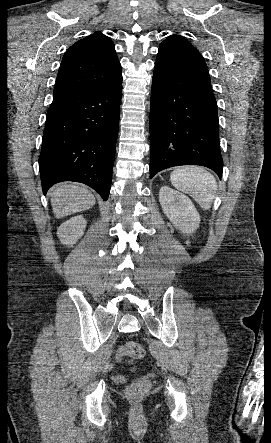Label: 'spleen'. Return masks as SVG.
<instances>
[{
  "label": "spleen",
  "mask_w": 271,
  "mask_h": 443,
  "mask_svg": "<svg viewBox=\"0 0 271 443\" xmlns=\"http://www.w3.org/2000/svg\"><path fill=\"white\" fill-rule=\"evenodd\" d=\"M170 180L174 188L184 194H190L203 210H210L214 200V190H217V182L210 172L196 166H185V168H175Z\"/></svg>",
  "instance_id": "obj_1"
}]
</instances>
